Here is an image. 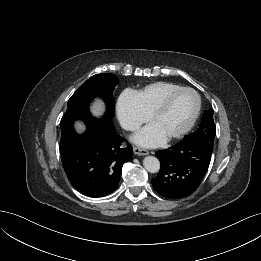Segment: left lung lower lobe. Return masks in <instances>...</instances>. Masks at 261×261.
Listing matches in <instances>:
<instances>
[{
  "mask_svg": "<svg viewBox=\"0 0 261 261\" xmlns=\"http://www.w3.org/2000/svg\"><path fill=\"white\" fill-rule=\"evenodd\" d=\"M213 148L205 140L184 138L156 156L161 162L159 174L152 179L163 197L180 199L191 195L201 184L211 161Z\"/></svg>",
  "mask_w": 261,
  "mask_h": 261,
  "instance_id": "left-lung-lower-lobe-1",
  "label": "left lung lower lobe"
}]
</instances>
